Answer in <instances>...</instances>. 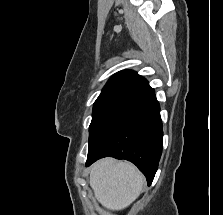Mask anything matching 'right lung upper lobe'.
<instances>
[{
  "mask_svg": "<svg viewBox=\"0 0 223 215\" xmlns=\"http://www.w3.org/2000/svg\"><path fill=\"white\" fill-rule=\"evenodd\" d=\"M112 92H129L148 97L154 90L148 82L132 70H124L113 75L106 83L100 95Z\"/></svg>",
  "mask_w": 223,
  "mask_h": 215,
  "instance_id": "1",
  "label": "right lung upper lobe"
}]
</instances>
